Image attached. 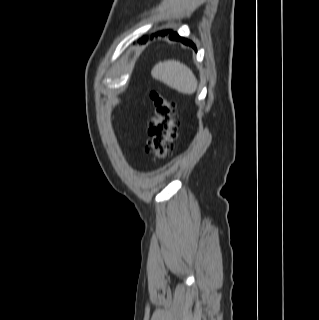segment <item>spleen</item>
<instances>
[{
  "label": "spleen",
  "mask_w": 319,
  "mask_h": 320,
  "mask_svg": "<svg viewBox=\"0 0 319 320\" xmlns=\"http://www.w3.org/2000/svg\"><path fill=\"white\" fill-rule=\"evenodd\" d=\"M151 75L154 79L183 94L191 95L197 89L198 82L192 70L180 61L159 62L153 67Z\"/></svg>",
  "instance_id": "spleen-1"
}]
</instances>
